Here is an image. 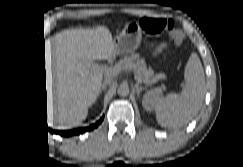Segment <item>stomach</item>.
<instances>
[{"instance_id": "stomach-1", "label": "stomach", "mask_w": 243, "mask_h": 167, "mask_svg": "<svg viewBox=\"0 0 243 167\" xmlns=\"http://www.w3.org/2000/svg\"><path fill=\"white\" fill-rule=\"evenodd\" d=\"M142 33L138 22H128L122 32L117 35L115 53L125 55L135 51L141 43Z\"/></svg>"}]
</instances>
